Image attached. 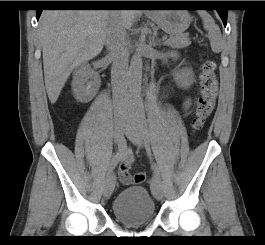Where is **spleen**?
<instances>
[{
	"label": "spleen",
	"mask_w": 265,
	"mask_h": 245,
	"mask_svg": "<svg viewBox=\"0 0 265 245\" xmlns=\"http://www.w3.org/2000/svg\"><path fill=\"white\" fill-rule=\"evenodd\" d=\"M198 14L203 20L204 28L208 31L210 45L215 53H219L223 47L222 36L219 27L213 18L206 11H199Z\"/></svg>",
	"instance_id": "spleen-1"
}]
</instances>
